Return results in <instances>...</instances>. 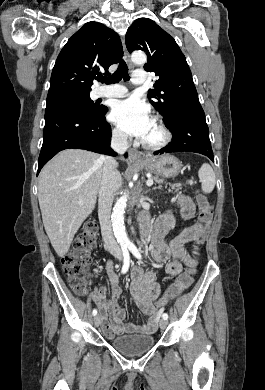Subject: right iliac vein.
<instances>
[{"label":"right iliac vein","mask_w":265,"mask_h":390,"mask_svg":"<svg viewBox=\"0 0 265 390\" xmlns=\"http://www.w3.org/2000/svg\"><path fill=\"white\" fill-rule=\"evenodd\" d=\"M119 260H121L120 257H119ZM94 324H95L96 326H99V324H100V316H99V315H96V316L94 317Z\"/></svg>","instance_id":"63e3f726"}]
</instances>
